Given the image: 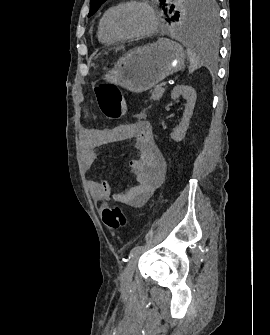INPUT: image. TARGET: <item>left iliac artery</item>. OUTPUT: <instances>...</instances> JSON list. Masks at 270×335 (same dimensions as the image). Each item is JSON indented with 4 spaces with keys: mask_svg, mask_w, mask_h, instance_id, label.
Wrapping results in <instances>:
<instances>
[{
    "mask_svg": "<svg viewBox=\"0 0 270 335\" xmlns=\"http://www.w3.org/2000/svg\"><path fill=\"white\" fill-rule=\"evenodd\" d=\"M145 249L144 246H136L134 247L129 254V258L133 257L135 254L140 253L141 251H143Z\"/></svg>",
    "mask_w": 270,
    "mask_h": 335,
    "instance_id": "left-iliac-artery-1",
    "label": "left iliac artery"
}]
</instances>
